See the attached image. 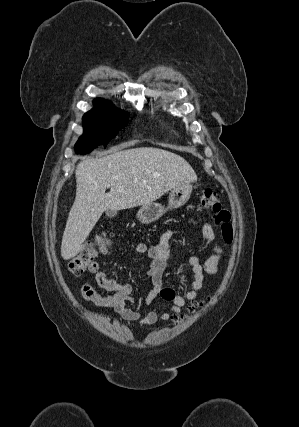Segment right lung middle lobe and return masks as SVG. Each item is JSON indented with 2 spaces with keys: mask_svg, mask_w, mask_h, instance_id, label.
<instances>
[{
  "mask_svg": "<svg viewBox=\"0 0 299 427\" xmlns=\"http://www.w3.org/2000/svg\"><path fill=\"white\" fill-rule=\"evenodd\" d=\"M127 114L111 104L95 105L83 116L84 134L75 145L76 152L87 154L107 143L127 123Z\"/></svg>",
  "mask_w": 299,
  "mask_h": 427,
  "instance_id": "dd1d6c3e",
  "label": "right lung middle lobe"
}]
</instances>
